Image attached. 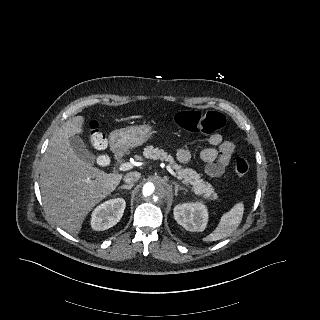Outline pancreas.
Listing matches in <instances>:
<instances>
[{
	"mask_svg": "<svg viewBox=\"0 0 320 320\" xmlns=\"http://www.w3.org/2000/svg\"><path fill=\"white\" fill-rule=\"evenodd\" d=\"M143 155L147 159H160L169 162V166L176 171L178 176H180L185 183H190L193 186L192 190L196 195H202L203 198L208 200L217 199L218 196L213 187L209 183L203 181L200 178V174L191 168H183L181 165H178L173 157L168 155L163 149L147 146L144 149Z\"/></svg>",
	"mask_w": 320,
	"mask_h": 320,
	"instance_id": "cf45deb5",
	"label": "pancreas"
}]
</instances>
